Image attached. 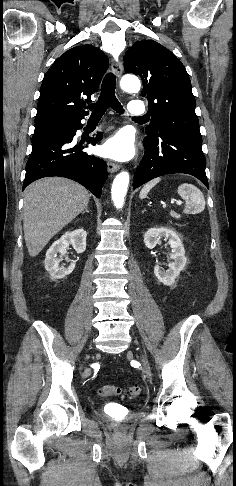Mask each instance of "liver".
Segmentation results:
<instances>
[{"instance_id": "liver-1", "label": "liver", "mask_w": 236, "mask_h": 486, "mask_svg": "<svg viewBox=\"0 0 236 486\" xmlns=\"http://www.w3.org/2000/svg\"><path fill=\"white\" fill-rule=\"evenodd\" d=\"M89 192L78 183L49 177L35 181L24 193V239L31 257L75 219L89 203Z\"/></svg>"}]
</instances>
